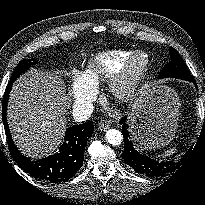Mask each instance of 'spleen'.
Returning a JSON list of instances; mask_svg holds the SVG:
<instances>
[{
  "instance_id": "spleen-1",
  "label": "spleen",
  "mask_w": 205,
  "mask_h": 205,
  "mask_svg": "<svg viewBox=\"0 0 205 205\" xmlns=\"http://www.w3.org/2000/svg\"><path fill=\"white\" fill-rule=\"evenodd\" d=\"M174 150L175 149H170V150H168L167 152H165V156H169V155H171V154H173L174 153Z\"/></svg>"
}]
</instances>
